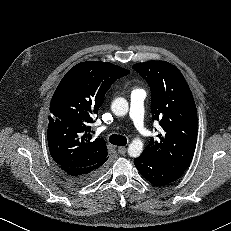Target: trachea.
I'll return each mask as SVG.
<instances>
[{"mask_svg": "<svg viewBox=\"0 0 231 231\" xmlns=\"http://www.w3.org/2000/svg\"><path fill=\"white\" fill-rule=\"evenodd\" d=\"M109 142L117 146H125L127 144V138L122 135L112 134L109 136Z\"/></svg>", "mask_w": 231, "mask_h": 231, "instance_id": "obj_1", "label": "trachea"}]
</instances>
